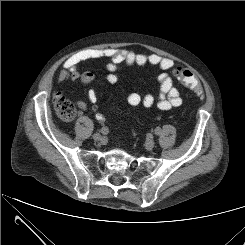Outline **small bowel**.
<instances>
[{"label":"small bowel","instance_id":"1","mask_svg":"<svg viewBox=\"0 0 245 245\" xmlns=\"http://www.w3.org/2000/svg\"><path fill=\"white\" fill-rule=\"evenodd\" d=\"M100 58L108 59L106 64L107 81L110 84H116L119 80L118 71L122 66H139L146 65L156 66L165 71L174 66V60L162 57L157 54H139L125 49H91L80 51L69 57L63 65V70L58 75V81H80L83 85H88L94 80V74L90 71L80 72L78 65L88 60ZM157 82L159 84V96L156 101L151 93L144 95L138 92H132L127 97V102L131 107L142 106L151 108L155 104L160 110H170L179 107L182 104V98L179 90L175 87L172 78L169 74L163 72L158 75ZM88 99L93 110L97 109V93L95 90L88 91ZM77 106L80 110L87 108L85 101H78ZM96 119L99 122H104L105 117L102 114H97Z\"/></svg>","mask_w":245,"mask_h":245}]
</instances>
